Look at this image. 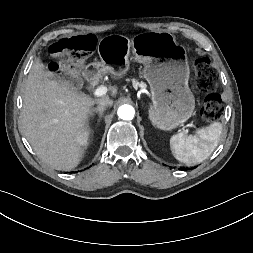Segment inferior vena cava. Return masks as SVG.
I'll return each instance as SVG.
<instances>
[{
    "label": "inferior vena cava",
    "instance_id": "inferior-vena-cava-1",
    "mask_svg": "<svg viewBox=\"0 0 253 253\" xmlns=\"http://www.w3.org/2000/svg\"><path fill=\"white\" fill-rule=\"evenodd\" d=\"M98 107H108L113 105V101L108 97L100 99L98 102Z\"/></svg>",
    "mask_w": 253,
    "mask_h": 253
}]
</instances>
